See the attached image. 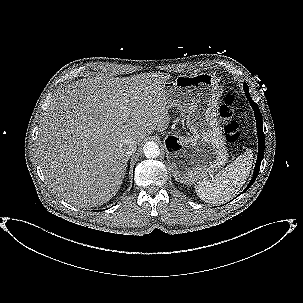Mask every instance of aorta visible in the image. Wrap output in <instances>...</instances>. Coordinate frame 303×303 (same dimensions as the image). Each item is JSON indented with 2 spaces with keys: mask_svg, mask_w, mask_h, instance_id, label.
<instances>
[{
  "mask_svg": "<svg viewBox=\"0 0 303 303\" xmlns=\"http://www.w3.org/2000/svg\"><path fill=\"white\" fill-rule=\"evenodd\" d=\"M143 152L146 158H156L160 155V148L155 142L151 141L144 145Z\"/></svg>",
  "mask_w": 303,
  "mask_h": 303,
  "instance_id": "1",
  "label": "aorta"
}]
</instances>
